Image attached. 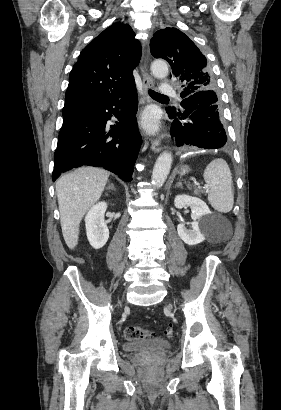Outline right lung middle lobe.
Instances as JSON below:
<instances>
[{"label":"right lung middle lobe","instance_id":"obj_1","mask_svg":"<svg viewBox=\"0 0 281 410\" xmlns=\"http://www.w3.org/2000/svg\"><path fill=\"white\" fill-rule=\"evenodd\" d=\"M87 108H69L63 109V123L72 120L73 118L77 117L81 113H83Z\"/></svg>","mask_w":281,"mask_h":410}]
</instances>
